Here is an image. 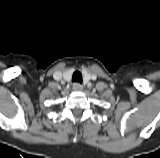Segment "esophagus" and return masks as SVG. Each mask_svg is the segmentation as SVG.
<instances>
[{
    "label": "esophagus",
    "mask_w": 160,
    "mask_h": 158,
    "mask_svg": "<svg viewBox=\"0 0 160 158\" xmlns=\"http://www.w3.org/2000/svg\"><path fill=\"white\" fill-rule=\"evenodd\" d=\"M72 88H73L74 91H81L83 89V86L80 83L75 82V83H73Z\"/></svg>",
    "instance_id": "obj_1"
}]
</instances>
